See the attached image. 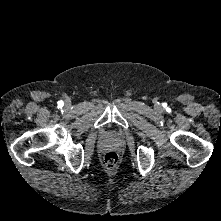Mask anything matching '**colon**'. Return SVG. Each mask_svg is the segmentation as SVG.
I'll return each instance as SVG.
<instances>
[{
  "mask_svg": "<svg viewBox=\"0 0 221 221\" xmlns=\"http://www.w3.org/2000/svg\"><path fill=\"white\" fill-rule=\"evenodd\" d=\"M103 165L107 171H113L118 165V156L114 152H107L103 158Z\"/></svg>",
  "mask_w": 221,
  "mask_h": 221,
  "instance_id": "colon-1",
  "label": "colon"
}]
</instances>
